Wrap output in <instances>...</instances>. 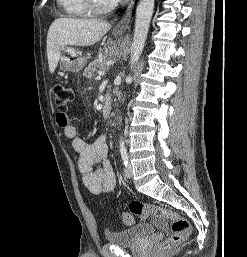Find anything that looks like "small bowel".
Returning a JSON list of instances; mask_svg holds the SVG:
<instances>
[{"label":"small bowel","instance_id":"obj_1","mask_svg":"<svg viewBox=\"0 0 247 257\" xmlns=\"http://www.w3.org/2000/svg\"><path fill=\"white\" fill-rule=\"evenodd\" d=\"M57 123L64 130L65 136L72 140L77 169L84 186L97 196L113 193L117 181L107 158V137L102 135L93 143H87L77 136V130L69 123L68 116L63 117L58 114ZM94 164H97L95 170L93 169Z\"/></svg>","mask_w":247,"mask_h":257}]
</instances>
